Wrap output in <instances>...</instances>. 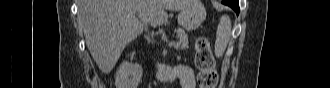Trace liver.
Wrapping results in <instances>:
<instances>
[{
    "mask_svg": "<svg viewBox=\"0 0 330 88\" xmlns=\"http://www.w3.org/2000/svg\"><path fill=\"white\" fill-rule=\"evenodd\" d=\"M191 0H80L79 20L94 61L109 73L124 48L148 26L163 25L167 10L181 11Z\"/></svg>",
    "mask_w": 330,
    "mask_h": 88,
    "instance_id": "6515ba94",
    "label": "liver"
}]
</instances>
